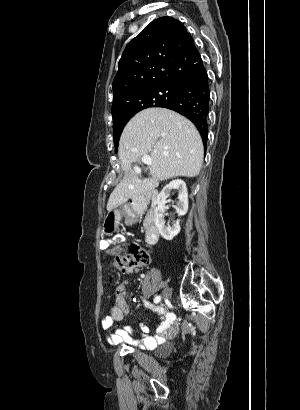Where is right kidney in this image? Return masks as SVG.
I'll use <instances>...</instances> for the list:
<instances>
[{
  "mask_svg": "<svg viewBox=\"0 0 300 410\" xmlns=\"http://www.w3.org/2000/svg\"><path fill=\"white\" fill-rule=\"evenodd\" d=\"M172 190H176L178 193V201L175 207L177 214L183 216L188 211V192L185 182L181 179L172 180L157 196V207L154 210L155 225L165 240H172L181 229L179 219L174 221L172 225L169 223L166 225L164 220L166 200Z\"/></svg>",
  "mask_w": 300,
  "mask_h": 410,
  "instance_id": "right-kidney-1",
  "label": "right kidney"
}]
</instances>
